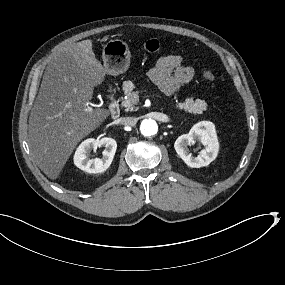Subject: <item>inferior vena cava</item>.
<instances>
[{"instance_id":"602c4592","label":"inferior vena cava","mask_w":285,"mask_h":285,"mask_svg":"<svg viewBox=\"0 0 285 285\" xmlns=\"http://www.w3.org/2000/svg\"><path fill=\"white\" fill-rule=\"evenodd\" d=\"M120 123L126 126H134L136 124V120L134 117H123L120 119Z\"/></svg>"}]
</instances>
